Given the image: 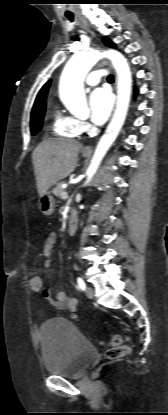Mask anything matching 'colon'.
I'll return each instance as SVG.
<instances>
[{"label": "colon", "instance_id": "colon-1", "mask_svg": "<svg viewBox=\"0 0 168 415\" xmlns=\"http://www.w3.org/2000/svg\"><path fill=\"white\" fill-rule=\"evenodd\" d=\"M29 288L32 294H39L43 288L42 276L38 266H33L30 270ZM129 351L128 346L122 344V338L115 334L112 335L108 342V349L106 351V357L109 360H117L125 356Z\"/></svg>", "mask_w": 168, "mask_h": 415}]
</instances>
